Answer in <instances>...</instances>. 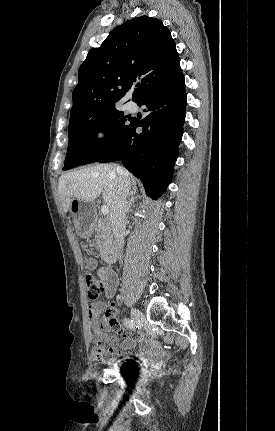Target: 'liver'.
Returning <instances> with one entry per match:
<instances>
[{
  "instance_id": "6515ba94",
  "label": "liver",
  "mask_w": 275,
  "mask_h": 431,
  "mask_svg": "<svg viewBox=\"0 0 275 431\" xmlns=\"http://www.w3.org/2000/svg\"><path fill=\"white\" fill-rule=\"evenodd\" d=\"M133 189L130 195L136 193V180L125 170ZM119 189L116 167L111 164H98L61 175L58 190L64 212L70 207L73 198L93 202L101 193L109 209L115 200Z\"/></svg>"
}]
</instances>
